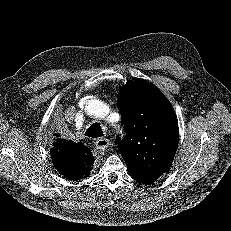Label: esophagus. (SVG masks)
<instances>
[{
  "mask_svg": "<svg viewBox=\"0 0 231 231\" xmlns=\"http://www.w3.org/2000/svg\"><path fill=\"white\" fill-rule=\"evenodd\" d=\"M110 145L109 139L106 138H99L95 142V146L99 150H106Z\"/></svg>",
  "mask_w": 231,
  "mask_h": 231,
  "instance_id": "34e87169",
  "label": "esophagus"
}]
</instances>
